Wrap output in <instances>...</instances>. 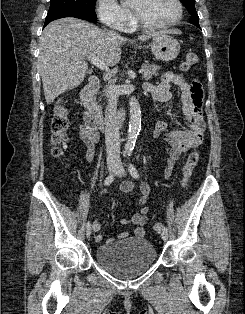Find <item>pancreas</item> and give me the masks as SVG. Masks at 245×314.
I'll list each match as a JSON object with an SVG mask.
<instances>
[{
    "instance_id": "obj_1",
    "label": "pancreas",
    "mask_w": 245,
    "mask_h": 314,
    "mask_svg": "<svg viewBox=\"0 0 245 314\" xmlns=\"http://www.w3.org/2000/svg\"><path fill=\"white\" fill-rule=\"evenodd\" d=\"M141 68L143 69L142 77L145 80H150L152 77L157 76L160 69L159 66L148 63L143 64Z\"/></svg>"
}]
</instances>
